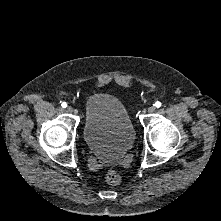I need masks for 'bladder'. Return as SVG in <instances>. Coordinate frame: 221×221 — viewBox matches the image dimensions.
Masks as SVG:
<instances>
[{"mask_svg":"<svg viewBox=\"0 0 221 221\" xmlns=\"http://www.w3.org/2000/svg\"><path fill=\"white\" fill-rule=\"evenodd\" d=\"M84 139L95 154L112 160L133 145L135 129L123 103L115 96L98 93L85 101Z\"/></svg>","mask_w":221,"mask_h":221,"instance_id":"1","label":"bladder"}]
</instances>
